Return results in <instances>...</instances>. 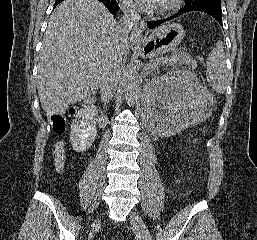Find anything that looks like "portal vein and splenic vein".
<instances>
[{"label": "portal vein and splenic vein", "mask_w": 257, "mask_h": 240, "mask_svg": "<svg viewBox=\"0 0 257 240\" xmlns=\"http://www.w3.org/2000/svg\"><path fill=\"white\" fill-rule=\"evenodd\" d=\"M154 65H155V62H154V61L149 62V63H147V64L145 65V69H150V68H152Z\"/></svg>", "instance_id": "1"}]
</instances>
